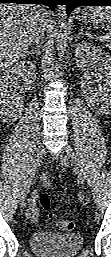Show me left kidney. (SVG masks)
Returning <instances> with one entry per match:
<instances>
[{
    "instance_id": "obj_1",
    "label": "left kidney",
    "mask_w": 111,
    "mask_h": 257,
    "mask_svg": "<svg viewBox=\"0 0 111 257\" xmlns=\"http://www.w3.org/2000/svg\"><path fill=\"white\" fill-rule=\"evenodd\" d=\"M75 59L78 67L91 65L98 72L96 82L98 90L92 96L91 102L97 103V111L105 113L111 108V56L102 48L91 43L79 44Z\"/></svg>"
}]
</instances>
